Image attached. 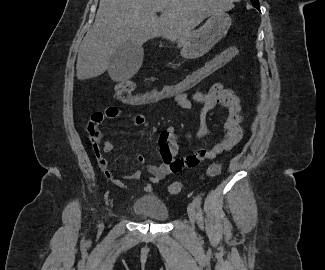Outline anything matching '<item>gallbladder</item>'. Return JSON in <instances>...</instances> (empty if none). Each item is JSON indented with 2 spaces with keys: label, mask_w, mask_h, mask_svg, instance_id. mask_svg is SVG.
Here are the masks:
<instances>
[{
  "label": "gallbladder",
  "mask_w": 325,
  "mask_h": 270,
  "mask_svg": "<svg viewBox=\"0 0 325 270\" xmlns=\"http://www.w3.org/2000/svg\"><path fill=\"white\" fill-rule=\"evenodd\" d=\"M143 48L134 42L127 41L111 55L108 73L115 80L133 77L142 65Z\"/></svg>",
  "instance_id": "bac80fb5"
}]
</instances>
